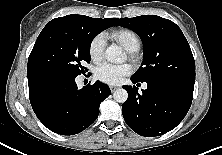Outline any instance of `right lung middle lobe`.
<instances>
[{"mask_svg":"<svg viewBox=\"0 0 222 155\" xmlns=\"http://www.w3.org/2000/svg\"><path fill=\"white\" fill-rule=\"evenodd\" d=\"M112 25L88 16H64L51 20L39 34L28 59L27 72L53 82L76 78L87 70L93 38Z\"/></svg>","mask_w":222,"mask_h":155,"instance_id":"right-lung-middle-lobe-1","label":"right lung middle lobe"}]
</instances>
